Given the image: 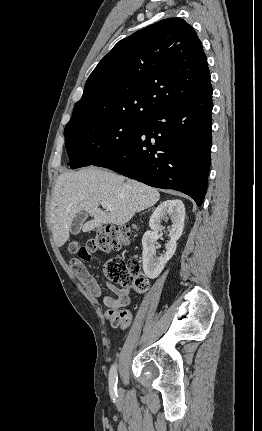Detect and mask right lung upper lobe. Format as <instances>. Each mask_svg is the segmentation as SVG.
Returning a JSON list of instances; mask_svg holds the SVG:
<instances>
[{
	"label": "right lung upper lobe",
	"mask_w": 262,
	"mask_h": 431,
	"mask_svg": "<svg viewBox=\"0 0 262 431\" xmlns=\"http://www.w3.org/2000/svg\"><path fill=\"white\" fill-rule=\"evenodd\" d=\"M210 84L201 41L182 19L168 18L119 41L90 74L67 126L147 116L188 100Z\"/></svg>",
	"instance_id": "1"
}]
</instances>
